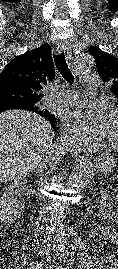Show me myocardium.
Returning <instances> with one entry per match:
<instances>
[{
    "instance_id": "1",
    "label": "myocardium",
    "mask_w": 118,
    "mask_h": 269,
    "mask_svg": "<svg viewBox=\"0 0 118 269\" xmlns=\"http://www.w3.org/2000/svg\"><path fill=\"white\" fill-rule=\"evenodd\" d=\"M113 112H118V105L114 106L112 109ZM107 146L118 150V143H114V142H108Z\"/></svg>"
}]
</instances>
